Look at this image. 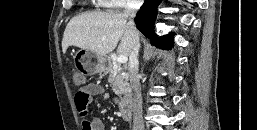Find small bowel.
<instances>
[{
	"instance_id": "c3829d8e",
	"label": "small bowel",
	"mask_w": 257,
	"mask_h": 130,
	"mask_svg": "<svg viewBox=\"0 0 257 130\" xmlns=\"http://www.w3.org/2000/svg\"><path fill=\"white\" fill-rule=\"evenodd\" d=\"M94 96H99L106 100L109 93L99 84L91 83L80 89L75 95V106L79 116L82 118V130H105L104 122L101 118L95 117L87 119L88 108Z\"/></svg>"
}]
</instances>
